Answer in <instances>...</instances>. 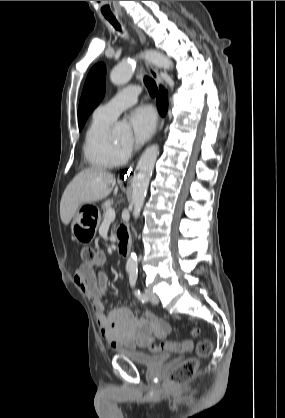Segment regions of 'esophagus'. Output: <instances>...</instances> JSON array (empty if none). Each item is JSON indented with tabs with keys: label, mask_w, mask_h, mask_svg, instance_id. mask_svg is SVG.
I'll return each mask as SVG.
<instances>
[{
	"label": "esophagus",
	"mask_w": 285,
	"mask_h": 418,
	"mask_svg": "<svg viewBox=\"0 0 285 418\" xmlns=\"http://www.w3.org/2000/svg\"><path fill=\"white\" fill-rule=\"evenodd\" d=\"M136 31H137V34H138V36H139V40H140L141 44H142V45H144V44H145L146 39H145V36H144L143 32H142L141 30H139V29H136ZM146 66H147V69H148V71H149V73H150L151 77L155 80V82H156L158 85H160V86L164 87V82H163V79H162V77L160 76V74H159L158 70H157V69H156V68H155L152 64H150L149 62H146ZM163 125H164V119L162 118V119L160 120V123H159V125H158L157 130H161V129H162V127H163Z\"/></svg>",
	"instance_id": "obj_1"
}]
</instances>
